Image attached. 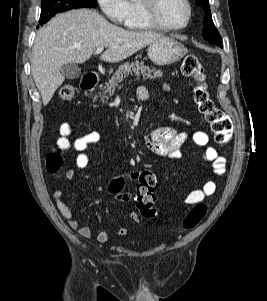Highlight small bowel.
Returning <instances> with one entry per match:
<instances>
[{"instance_id":"1","label":"small bowel","mask_w":267,"mask_h":301,"mask_svg":"<svg viewBox=\"0 0 267 301\" xmlns=\"http://www.w3.org/2000/svg\"><path fill=\"white\" fill-rule=\"evenodd\" d=\"M164 90L169 91L168 85L163 86ZM142 93L147 94L145 87L140 86L137 88V95ZM73 134L72 126L63 122L59 126V137L56 141L58 148L62 150H72L77 153L75 158V164L78 168H84L88 165L89 157L85 153V150L89 145L97 143L100 140V135L97 132L87 133L75 140L71 141L69 137ZM188 135L185 132L177 131L171 127H158L151 129L145 135V145L147 149L162 157L171 159H180L182 157L180 148L187 140ZM193 143L198 147H204L202 152V159L205 162H209L212 165L213 171L216 175H222L226 171V159L219 155L217 149L210 145V137L205 131H197L192 135ZM65 177L68 180H73L75 172L73 169L65 171ZM217 185L213 180H208L204 183L202 188L191 189L188 191L184 202L186 204H197L203 201L207 196H211L215 193ZM63 193L61 190H55L53 193V199L55 205L60 214L66 219L69 226L76 230L80 236L84 238L92 237V229L88 226H81L79 222L74 218L72 211L68 205L62 199ZM132 199V194L128 191H124L119 197L114 199L115 202H128ZM129 217L133 221H139V216L135 212H131ZM128 230L126 228H120L116 234L119 236L126 235ZM110 237L108 230H102L95 236L99 243L107 242Z\"/></svg>"}]
</instances>
